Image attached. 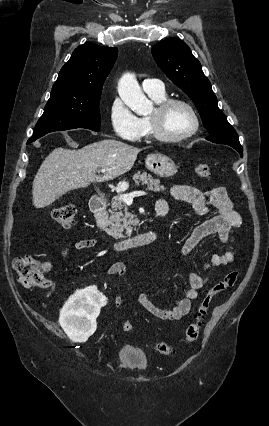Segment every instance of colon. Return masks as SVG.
<instances>
[{
  "label": "colon",
  "instance_id": "5ec220e1",
  "mask_svg": "<svg viewBox=\"0 0 269 426\" xmlns=\"http://www.w3.org/2000/svg\"><path fill=\"white\" fill-rule=\"evenodd\" d=\"M195 172L203 179L209 180L211 178L210 167L205 163H197L195 165ZM52 218L62 229H69L73 226L76 216V208L73 204L65 202L52 209ZM16 272L17 280L20 284L30 287H43L46 279L42 263L31 256L17 257L13 263ZM239 277L237 270H232L225 275V277L216 282L211 289L205 294L200 303L198 304L192 322L187 326L183 341L185 343H192L197 340L203 320L208 312L209 307L214 299L232 288ZM122 329L129 332L133 329V324L129 320L122 323ZM156 351L159 354L169 356L173 354V347L167 342H158L156 344Z\"/></svg>",
  "mask_w": 269,
  "mask_h": 426
}]
</instances>
